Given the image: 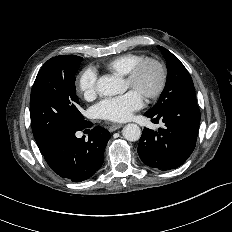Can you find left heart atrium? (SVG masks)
<instances>
[{
    "mask_svg": "<svg viewBox=\"0 0 232 232\" xmlns=\"http://www.w3.org/2000/svg\"><path fill=\"white\" fill-rule=\"evenodd\" d=\"M142 107V95L135 90H131L121 96L102 100L95 106V112L102 119L123 122L128 120L133 112Z\"/></svg>",
    "mask_w": 232,
    "mask_h": 232,
    "instance_id": "1",
    "label": "left heart atrium"
}]
</instances>
